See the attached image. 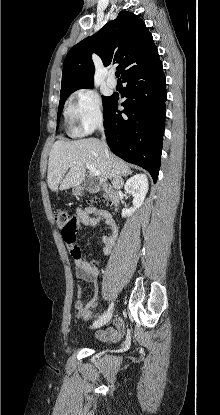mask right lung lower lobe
I'll use <instances>...</instances> for the list:
<instances>
[{"label": "right lung lower lobe", "instance_id": "right-lung-lower-lobe-1", "mask_svg": "<svg viewBox=\"0 0 220 415\" xmlns=\"http://www.w3.org/2000/svg\"><path fill=\"white\" fill-rule=\"evenodd\" d=\"M126 88L123 111L112 95L104 111L107 143L113 153L146 169L157 181L165 127L166 82L160 59L122 78Z\"/></svg>", "mask_w": 220, "mask_h": 415}]
</instances>
